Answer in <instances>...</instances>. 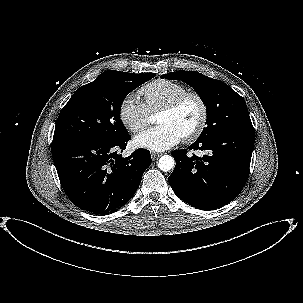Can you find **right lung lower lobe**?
<instances>
[{
    "label": "right lung lower lobe",
    "instance_id": "right-lung-lower-lobe-1",
    "mask_svg": "<svg viewBox=\"0 0 303 303\" xmlns=\"http://www.w3.org/2000/svg\"><path fill=\"white\" fill-rule=\"evenodd\" d=\"M129 138L53 140L51 152L58 177L75 206L105 215L116 212L132 198L151 164V155L140 148L122 158L119 151L125 150Z\"/></svg>",
    "mask_w": 303,
    "mask_h": 303
}]
</instances>
